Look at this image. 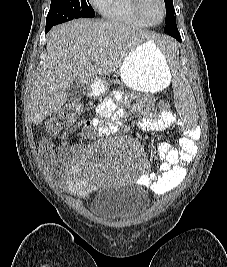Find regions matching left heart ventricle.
<instances>
[{"instance_id":"1","label":"left heart ventricle","mask_w":227,"mask_h":267,"mask_svg":"<svg viewBox=\"0 0 227 267\" xmlns=\"http://www.w3.org/2000/svg\"><path fill=\"white\" fill-rule=\"evenodd\" d=\"M143 12L148 21L155 23L161 19L162 8L159 0H143Z\"/></svg>"}]
</instances>
